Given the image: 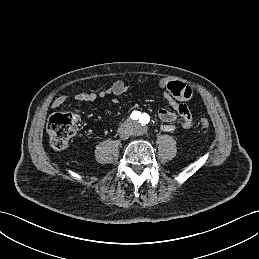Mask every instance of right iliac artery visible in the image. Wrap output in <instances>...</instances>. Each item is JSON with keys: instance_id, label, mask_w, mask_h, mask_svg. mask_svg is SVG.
<instances>
[{"instance_id": "82829eb1", "label": "right iliac artery", "mask_w": 259, "mask_h": 259, "mask_svg": "<svg viewBox=\"0 0 259 259\" xmlns=\"http://www.w3.org/2000/svg\"><path fill=\"white\" fill-rule=\"evenodd\" d=\"M130 117L133 120H137L140 117V112L139 111H133Z\"/></svg>"}]
</instances>
